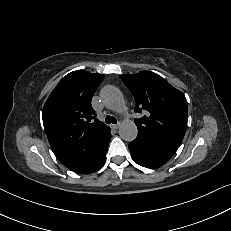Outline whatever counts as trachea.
Instances as JSON below:
<instances>
[{
  "label": "trachea",
  "mask_w": 231,
  "mask_h": 231,
  "mask_svg": "<svg viewBox=\"0 0 231 231\" xmlns=\"http://www.w3.org/2000/svg\"><path fill=\"white\" fill-rule=\"evenodd\" d=\"M105 122H106V123H113V124H116V123H117V120H116L115 117L110 116V115H107L106 118H105Z\"/></svg>",
  "instance_id": "obj_1"
}]
</instances>
